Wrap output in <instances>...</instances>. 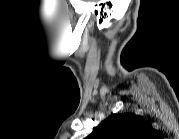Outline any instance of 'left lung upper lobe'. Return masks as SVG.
Returning <instances> with one entry per match:
<instances>
[{"label": "left lung upper lobe", "instance_id": "left-lung-upper-lobe-1", "mask_svg": "<svg viewBox=\"0 0 179 139\" xmlns=\"http://www.w3.org/2000/svg\"><path fill=\"white\" fill-rule=\"evenodd\" d=\"M151 131L150 124L138 115L113 114L94 128L88 139H142Z\"/></svg>", "mask_w": 179, "mask_h": 139}]
</instances>
